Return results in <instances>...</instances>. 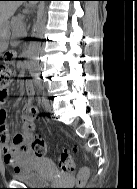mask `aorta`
I'll return each instance as SVG.
<instances>
[{
  "mask_svg": "<svg viewBox=\"0 0 137 189\" xmlns=\"http://www.w3.org/2000/svg\"><path fill=\"white\" fill-rule=\"evenodd\" d=\"M47 6L45 3H41L39 6L37 23L34 28V34L30 35V47L28 50L29 57L33 60L30 66V75L33 76L34 82H42V74L39 71V63L37 62L39 56V38L43 36L46 24Z\"/></svg>",
  "mask_w": 137,
  "mask_h": 189,
  "instance_id": "obj_1",
  "label": "aorta"
}]
</instances>
